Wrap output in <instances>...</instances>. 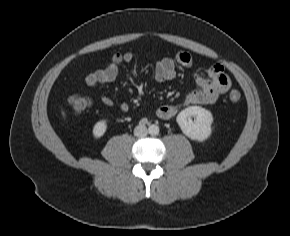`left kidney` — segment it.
Masks as SVG:
<instances>
[{
  "mask_svg": "<svg viewBox=\"0 0 290 236\" xmlns=\"http://www.w3.org/2000/svg\"><path fill=\"white\" fill-rule=\"evenodd\" d=\"M176 121L182 132L192 140L204 141L211 134L212 113L200 106H190L182 110Z\"/></svg>",
  "mask_w": 290,
  "mask_h": 236,
  "instance_id": "obj_1",
  "label": "left kidney"
}]
</instances>
